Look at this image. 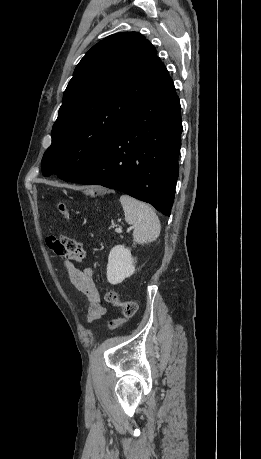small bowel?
Listing matches in <instances>:
<instances>
[{
    "instance_id": "1",
    "label": "small bowel",
    "mask_w": 261,
    "mask_h": 459,
    "mask_svg": "<svg viewBox=\"0 0 261 459\" xmlns=\"http://www.w3.org/2000/svg\"><path fill=\"white\" fill-rule=\"evenodd\" d=\"M47 245L56 254L65 257L64 265L71 283L88 300L87 320L92 322L101 318L106 313V309L100 302L99 292L93 280V270L91 268L81 270L74 264L86 259V252L81 243L70 237L51 236L47 239Z\"/></svg>"
}]
</instances>
